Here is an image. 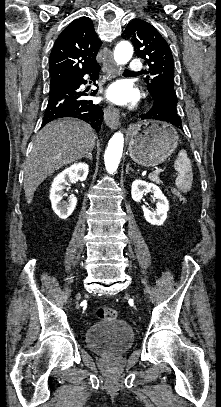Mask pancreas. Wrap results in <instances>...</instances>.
<instances>
[{"label":"pancreas","instance_id":"obj_1","mask_svg":"<svg viewBox=\"0 0 221 407\" xmlns=\"http://www.w3.org/2000/svg\"><path fill=\"white\" fill-rule=\"evenodd\" d=\"M149 178H150V180H152L153 182H155V183H157V184L162 183V181L159 179L158 174H151V175L149 176Z\"/></svg>","mask_w":221,"mask_h":407}]
</instances>
